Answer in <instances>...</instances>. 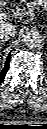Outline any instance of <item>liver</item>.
Segmentation results:
<instances>
[{
  "label": "liver",
  "mask_w": 47,
  "mask_h": 129,
  "mask_svg": "<svg viewBox=\"0 0 47 129\" xmlns=\"http://www.w3.org/2000/svg\"><path fill=\"white\" fill-rule=\"evenodd\" d=\"M9 18H10V16L7 15L6 13H1L0 14V26L2 23H4V20L9 19Z\"/></svg>",
  "instance_id": "obj_1"
}]
</instances>
